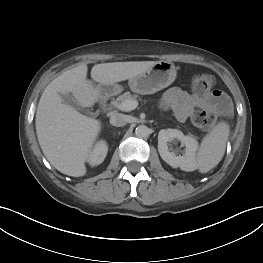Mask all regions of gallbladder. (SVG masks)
<instances>
[{
    "label": "gallbladder",
    "instance_id": "gallbladder-1",
    "mask_svg": "<svg viewBox=\"0 0 263 263\" xmlns=\"http://www.w3.org/2000/svg\"><path fill=\"white\" fill-rule=\"evenodd\" d=\"M60 97L64 104L71 106L76 110L87 112V110H85V108L82 105H80L70 94H60Z\"/></svg>",
    "mask_w": 263,
    "mask_h": 263
}]
</instances>
